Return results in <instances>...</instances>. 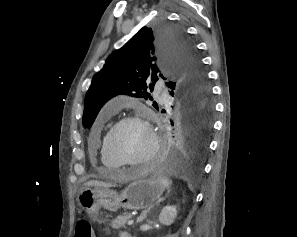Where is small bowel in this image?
Returning <instances> with one entry per match:
<instances>
[{"mask_svg":"<svg viewBox=\"0 0 297 237\" xmlns=\"http://www.w3.org/2000/svg\"><path fill=\"white\" fill-rule=\"evenodd\" d=\"M128 235H126V234H123L121 237H127Z\"/></svg>","mask_w":297,"mask_h":237,"instance_id":"1","label":"small bowel"}]
</instances>
